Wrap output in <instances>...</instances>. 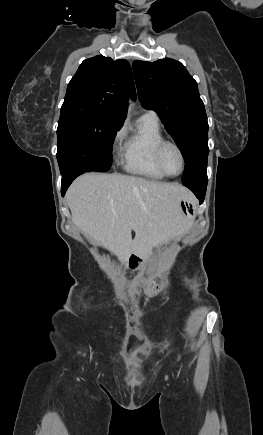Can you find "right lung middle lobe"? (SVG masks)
<instances>
[{
  "label": "right lung middle lobe",
  "instance_id": "obj_1",
  "mask_svg": "<svg viewBox=\"0 0 263 435\" xmlns=\"http://www.w3.org/2000/svg\"><path fill=\"white\" fill-rule=\"evenodd\" d=\"M122 125L89 109H61L57 160L62 175L71 170L108 171L112 143Z\"/></svg>",
  "mask_w": 263,
  "mask_h": 435
}]
</instances>
